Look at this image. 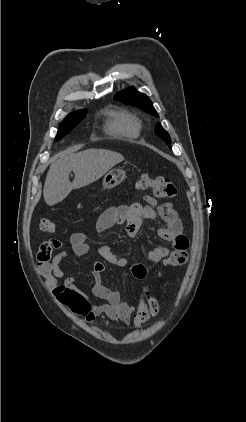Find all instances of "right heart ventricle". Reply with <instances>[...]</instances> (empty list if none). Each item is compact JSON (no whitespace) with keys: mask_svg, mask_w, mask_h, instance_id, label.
<instances>
[{"mask_svg":"<svg viewBox=\"0 0 246 422\" xmlns=\"http://www.w3.org/2000/svg\"><path fill=\"white\" fill-rule=\"evenodd\" d=\"M104 129L111 135L137 138L141 123L133 113L120 108H111L106 113Z\"/></svg>","mask_w":246,"mask_h":422,"instance_id":"right-heart-ventricle-1","label":"right heart ventricle"}]
</instances>
